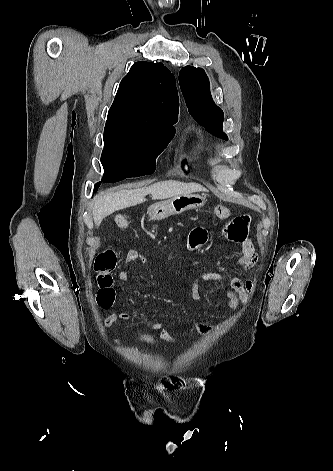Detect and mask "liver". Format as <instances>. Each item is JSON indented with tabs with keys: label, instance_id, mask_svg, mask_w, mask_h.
Segmentation results:
<instances>
[{
	"label": "liver",
	"instance_id": "obj_1",
	"mask_svg": "<svg viewBox=\"0 0 333 471\" xmlns=\"http://www.w3.org/2000/svg\"><path fill=\"white\" fill-rule=\"evenodd\" d=\"M201 191H206V188L197 183H183L175 180L162 181L132 190L116 192L107 190L101 192L93 201V220L98 228L105 217L118 210L143 203L148 194L152 195L153 200H164Z\"/></svg>",
	"mask_w": 333,
	"mask_h": 471
}]
</instances>
